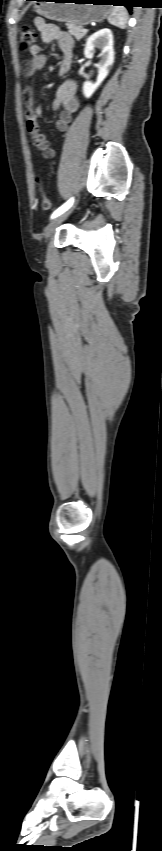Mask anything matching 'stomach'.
<instances>
[{"mask_svg":"<svg viewBox=\"0 0 162 851\" xmlns=\"http://www.w3.org/2000/svg\"><path fill=\"white\" fill-rule=\"evenodd\" d=\"M35 2V11L50 20L73 23L76 25H87L92 22H101L111 12V7L103 0H38Z\"/></svg>","mask_w":162,"mask_h":851,"instance_id":"stomach-1","label":"stomach"}]
</instances>
